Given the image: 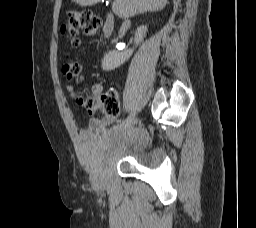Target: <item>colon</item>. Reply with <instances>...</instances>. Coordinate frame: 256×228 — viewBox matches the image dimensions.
Listing matches in <instances>:
<instances>
[{
    "mask_svg": "<svg viewBox=\"0 0 256 228\" xmlns=\"http://www.w3.org/2000/svg\"><path fill=\"white\" fill-rule=\"evenodd\" d=\"M101 21L91 11L71 12L67 22L62 26V32L69 37L70 44H79L78 32L81 30L89 37L94 36ZM62 72L67 79L73 80L80 74V66L77 62L68 60L62 67ZM78 102L87 110L100 109L106 117H115L119 112L118 95L115 91L104 93L98 100L94 98H79Z\"/></svg>",
    "mask_w": 256,
    "mask_h": 228,
    "instance_id": "obj_1",
    "label": "colon"
}]
</instances>
